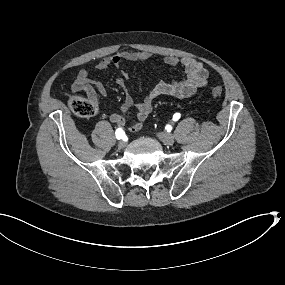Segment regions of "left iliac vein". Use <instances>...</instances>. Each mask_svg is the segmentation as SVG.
<instances>
[{
    "mask_svg": "<svg viewBox=\"0 0 285 285\" xmlns=\"http://www.w3.org/2000/svg\"><path fill=\"white\" fill-rule=\"evenodd\" d=\"M157 136L165 145L170 146L174 143V136L172 134H157Z\"/></svg>",
    "mask_w": 285,
    "mask_h": 285,
    "instance_id": "4c4485c4",
    "label": "left iliac vein"
}]
</instances>
